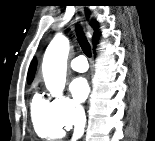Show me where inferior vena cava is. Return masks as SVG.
I'll return each instance as SVG.
<instances>
[{
  "label": "inferior vena cava",
  "mask_w": 155,
  "mask_h": 141,
  "mask_svg": "<svg viewBox=\"0 0 155 141\" xmlns=\"http://www.w3.org/2000/svg\"><path fill=\"white\" fill-rule=\"evenodd\" d=\"M86 117L84 111H81L79 114L78 122L75 125L74 134L72 137L73 141H76L79 137L82 136L84 127H85Z\"/></svg>",
  "instance_id": "obj_1"
}]
</instances>
